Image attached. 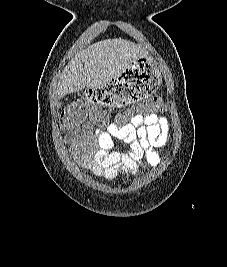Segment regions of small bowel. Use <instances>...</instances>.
<instances>
[{
	"label": "small bowel",
	"instance_id": "1",
	"mask_svg": "<svg viewBox=\"0 0 227 267\" xmlns=\"http://www.w3.org/2000/svg\"><path fill=\"white\" fill-rule=\"evenodd\" d=\"M168 135V120L159 115L134 116L122 124L111 122L96 130L84 124L69 137V152L79 166L111 182L120 174L158 166L161 157L157 149L166 144ZM114 139L123 141L127 150H116Z\"/></svg>",
	"mask_w": 227,
	"mask_h": 267
}]
</instances>
